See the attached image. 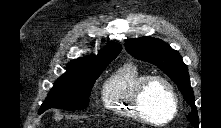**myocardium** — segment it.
I'll list each match as a JSON object with an SVG mask.
<instances>
[{
  "mask_svg": "<svg viewBox=\"0 0 221 128\" xmlns=\"http://www.w3.org/2000/svg\"><path fill=\"white\" fill-rule=\"evenodd\" d=\"M155 82L161 83L166 88L172 106L171 115L165 121L160 123L153 121L150 118V116L145 112L142 105L145 91L148 89L150 85H152ZM132 100H133L134 110L138 115V117L141 120L154 125L165 126L171 123L176 118L178 113V99L174 87L168 79L160 75H149L146 78H144L136 87Z\"/></svg>",
  "mask_w": 221,
  "mask_h": 128,
  "instance_id": "f54148a6",
  "label": "myocardium"
}]
</instances>
